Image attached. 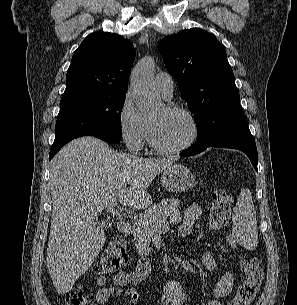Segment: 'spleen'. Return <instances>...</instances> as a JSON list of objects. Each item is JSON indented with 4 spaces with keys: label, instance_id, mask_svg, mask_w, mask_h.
Instances as JSON below:
<instances>
[{
    "label": "spleen",
    "instance_id": "1",
    "mask_svg": "<svg viewBox=\"0 0 297 305\" xmlns=\"http://www.w3.org/2000/svg\"><path fill=\"white\" fill-rule=\"evenodd\" d=\"M233 232L235 236L254 248L258 242L257 219L251 192L241 190L236 206L233 209Z\"/></svg>",
    "mask_w": 297,
    "mask_h": 305
}]
</instances>
